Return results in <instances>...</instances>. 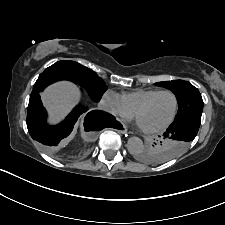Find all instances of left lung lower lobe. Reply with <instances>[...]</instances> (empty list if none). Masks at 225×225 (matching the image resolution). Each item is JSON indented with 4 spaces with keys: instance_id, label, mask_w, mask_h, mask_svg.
Listing matches in <instances>:
<instances>
[{
    "instance_id": "obj_1",
    "label": "left lung lower lobe",
    "mask_w": 225,
    "mask_h": 225,
    "mask_svg": "<svg viewBox=\"0 0 225 225\" xmlns=\"http://www.w3.org/2000/svg\"><path fill=\"white\" fill-rule=\"evenodd\" d=\"M202 112H192L187 115L176 118L170 127L164 133V137H171L190 143L199 130ZM183 145L177 144L173 147V157L183 151Z\"/></svg>"
}]
</instances>
